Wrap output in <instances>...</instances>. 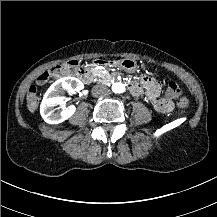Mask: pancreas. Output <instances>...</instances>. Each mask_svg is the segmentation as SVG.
Returning a JSON list of instances; mask_svg holds the SVG:
<instances>
[{
  "label": "pancreas",
  "instance_id": "cf45deb5",
  "mask_svg": "<svg viewBox=\"0 0 217 217\" xmlns=\"http://www.w3.org/2000/svg\"><path fill=\"white\" fill-rule=\"evenodd\" d=\"M107 75H108L107 73L106 74H100V77L105 78Z\"/></svg>",
  "mask_w": 217,
  "mask_h": 217
}]
</instances>
